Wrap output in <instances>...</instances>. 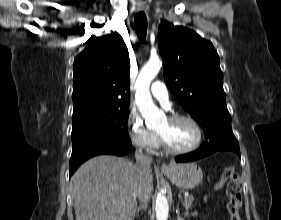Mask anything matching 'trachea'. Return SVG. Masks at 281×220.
<instances>
[{"instance_id":"1","label":"trachea","mask_w":281,"mask_h":220,"mask_svg":"<svg viewBox=\"0 0 281 220\" xmlns=\"http://www.w3.org/2000/svg\"><path fill=\"white\" fill-rule=\"evenodd\" d=\"M134 26L140 41L144 43L147 34V18L143 12L135 16Z\"/></svg>"}]
</instances>
